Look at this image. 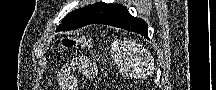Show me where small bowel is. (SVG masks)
<instances>
[{
  "label": "small bowel",
  "mask_w": 216,
  "mask_h": 90,
  "mask_svg": "<svg viewBox=\"0 0 216 90\" xmlns=\"http://www.w3.org/2000/svg\"><path fill=\"white\" fill-rule=\"evenodd\" d=\"M75 72H81L84 77L94 79L97 76V67L91 62L70 63L58 74V83L61 90H78Z\"/></svg>",
  "instance_id": "1"
}]
</instances>
